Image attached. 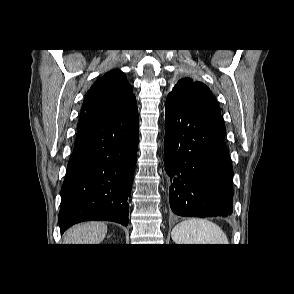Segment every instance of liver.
<instances>
[{
	"label": "liver",
	"mask_w": 294,
	"mask_h": 294,
	"mask_svg": "<svg viewBox=\"0 0 294 294\" xmlns=\"http://www.w3.org/2000/svg\"><path fill=\"white\" fill-rule=\"evenodd\" d=\"M107 234L104 222L91 221L68 229L63 238L64 244H100Z\"/></svg>",
	"instance_id": "6515ba94"
}]
</instances>
